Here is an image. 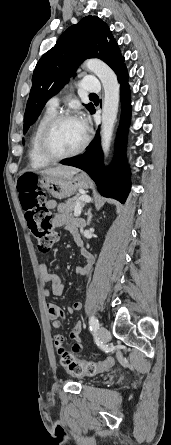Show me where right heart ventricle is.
<instances>
[{
  "label": "right heart ventricle",
  "instance_id": "obj_1",
  "mask_svg": "<svg viewBox=\"0 0 171 445\" xmlns=\"http://www.w3.org/2000/svg\"><path fill=\"white\" fill-rule=\"evenodd\" d=\"M55 115V109L47 107L44 113L39 118L33 134L31 136L30 146H29V161L32 167L41 168L48 165L50 162L46 161L39 153L38 141L41 131L44 125Z\"/></svg>",
  "mask_w": 171,
  "mask_h": 445
}]
</instances>
